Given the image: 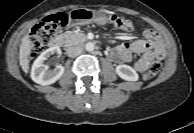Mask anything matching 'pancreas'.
Instances as JSON below:
<instances>
[{
  "label": "pancreas",
  "instance_id": "cf45deb5",
  "mask_svg": "<svg viewBox=\"0 0 194 133\" xmlns=\"http://www.w3.org/2000/svg\"><path fill=\"white\" fill-rule=\"evenodd\" d=\"M68 45L78 44L86 40V36L83 33L68 31L63 34Z\"/></svg>",
  "mask_w": 194,
  "mask_h": 133
}]
</instances>
